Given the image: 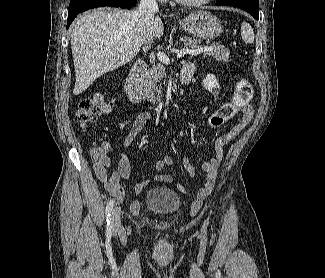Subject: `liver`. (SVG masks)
<instances>
[{"label":"liver","instance_id":"liver-1","mask_svg":"<svg viewBox=\"0 0 325 278\" xmlns=\"http://www.w3.org/2000/svg\"><path fill=\"white\" fill-rule=\"evenodd\" d=\"M163 33L159 16L147 26L137 10L107 8L81 15L71 31L74 95L84 92L104 73L130 62L142 45L152 43Z\"/></svg>","mask_w":325,"mask_h":278}]
</instances>
